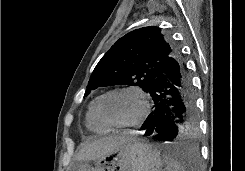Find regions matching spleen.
Wrapping results in <instances>:
<instances>
[{
	"label": "spleen",
	"instance_id": "3e777b00",
	"mask_svg": "<svg viewBox=\"0 0 245 171\" xmlns=\"http://www.w3.org/2000/svg\"><path fill=\"white\" fill-rule=\"evenodd\" d=\"M164 162L166 163V167L163 171H185L182 164L171 156L165 155Z\"/></svg>",
	"mask_w": 245,
	"mask_h": 171
}]
</instances>
